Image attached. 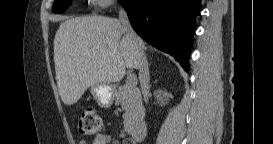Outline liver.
I'll return each instance as SVG.
<instances>
[{"label": "liver", "mask_w": 273, "mask_h": 144, "mask_svg": "<svg viewBox=\"0 0 273 144\" xmlns=\"http://www.w3.org/2000/svg\"><path fill=\"white\" fill-rule=\"evenodd\" d=\"M54 63L65 105L77 103L89 87L119 82L126 68H139L132 38L120 21L102 16L62 22L54 38Z\"/></svg>", "instance_id": "1"}]
</instances>
